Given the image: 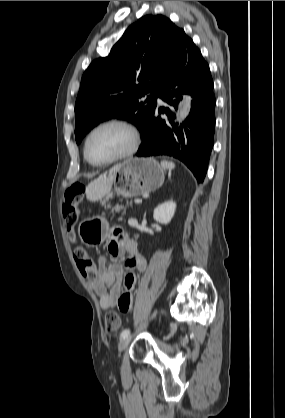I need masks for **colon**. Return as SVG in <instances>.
<instances>
[{
	"label": "colon",
	"instance_id": "5ec220e1",
	"mask_svg": "<svg viewBox=\"0 0 285 418\" xmlns=\"http://www.w3.org/2000/svg\"><path fill=\"white\" fill-rule=\"evenodd\" d=\"M83 185L76 184L65 190L64 200L62 203V215L65 224L68 227V235L71 241L77 240L75 226L79 221L78 198L82 193ZM74 258L77 266L84 278L93 279L98 273L96 261L89 255L88 251L77 246L74 249ZM121 320L119 315L114 311H108L105 316V327L108 331H116L120 328Z\"/></svg>",
	"mask_w": 285,
	"mask_h": 418
}]
</instances>
